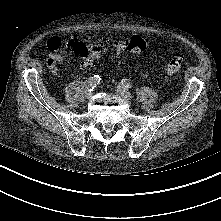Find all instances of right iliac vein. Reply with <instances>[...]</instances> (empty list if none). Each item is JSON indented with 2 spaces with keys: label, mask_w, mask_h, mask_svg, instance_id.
I'll return each instance as SVG.
<instances>
[{
  "label": "right iliac vein",
  "mask_w": 221,
  "mask_h": 221,
  "mask_svg": "<svg viewBox=\"0 0 221 221\" xmlns=\"http://www.w3.org/2000/svg\"><path fill=\"white\" fill-rule=\"evenodd\" d=\"M92 96H93V92L92 91H89V90L85 91V98L86 99H90Z\"/></svg>",
  "instance_id": "1"
}]
</instances>
